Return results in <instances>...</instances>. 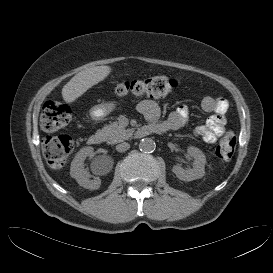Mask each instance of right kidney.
I'll return each mask as SVG.
<instances>
[{"mask_svg": "<svg viewBox=\"0 0 273 273\" xmlns=\"http://www.w3.org/2000/svg\"><path fill=\"white\" fill-rule=\"evenodd\" d=\"M94 149L92 147H84L78 151L73 161L71 162L70 175L77 183L87 189L94 188V182L89 180V174L84 169V161L87 157L93 156Z\"/></svg>", "mask_w": 273, "mask_h": 273, "instance_id": "ca27d5eb", "label": "right kidney"}]
</instances>
